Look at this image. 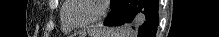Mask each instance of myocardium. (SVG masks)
<instances>
[{"mask_svg":"<svg viewBox=\"0 0 219 37\" xmlns=\"http://www.w3.org/2000/svg\"><path fill=\"white\" fill-rule=\"evenodd\" d=\"M73 2L74 1L67 0L66 1V8L62 12V18L72 28H86V27H89V26L97 23L98 21H100L103 18V16L105 15L106 11H107L108 1L107 0H99L98 1L99 10L93 18H91L90 20H88L86 22H83V23H75V22L70 21L67 18V12L73 6Z\"/></svg>","mask_w":219,"mask_h":37,"instance_id":"myocardium-1","label":"myocardium"}]
</instances>
